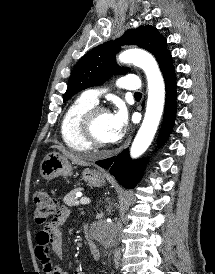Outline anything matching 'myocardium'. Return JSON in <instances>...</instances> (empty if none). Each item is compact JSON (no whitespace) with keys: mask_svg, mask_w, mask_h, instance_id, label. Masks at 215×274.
I'll return each mask as SVG.
<instances>
[{"mask_svg":"<svg viewBox=\"0 0 215 274\" xmlns=\"http://www.w3.org/2000/svg\"><path fill=\"white\" fill-rule=\"evenodd\" d=\"M108 113V110L102 106H93L84 113L80 121V131L85 142L90 148L101 149L110 145V142L100 141L94 133V123L97 116L102 113Z\"/></svg>","mask_w":215,"mask_h":274,"instance_id":"obj_1","label":"myocardium"}]
</instances>
